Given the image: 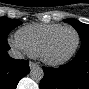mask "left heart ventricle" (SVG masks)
I'll use <instances>...</instances> for the list:
<instances>
[{
	"mask_svg": "<svg viewBox=\"0 0 89 89\" xmlns=\"http://www.w3.org/2000/svg\"><path fill=\"white\" fill-rule=\"evenodd\" d=\"M76 35L72 30H64L50 43L46 55L51 59H59L68 55L74 48Z\"/></svg>",
	"mask_w": 89,
	"mask_h": 89,
	"instance_id": "b2bd125f",
	"label": "left heart ventricle"
}]
</instances>
